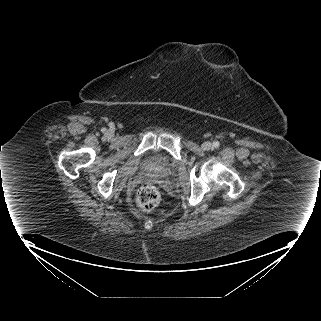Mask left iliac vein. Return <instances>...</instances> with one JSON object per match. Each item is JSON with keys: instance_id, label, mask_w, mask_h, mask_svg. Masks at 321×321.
<instances>
[{"instance_id": "1", "label": "left iliac vein", "mask_w": 321, "mask_h": 321, "mask_svg": "<svg viewBox=\"0 0 321 321\" xmlns=\"http://www.w3.org/2000/svg\"><path fill=\"white\" fill-rule=\"evenodd\" d=\"M202 148H203L204 150H210V149L212 148L211 142H204V143L202 144Z\"/></svg>"}]
</instances>
